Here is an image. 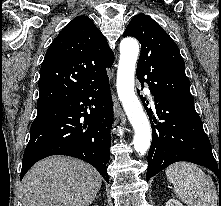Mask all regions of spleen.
Instances as JSON below:
<instances>
[{
	"label": "spleen",
	"mask_w": 221,
	"mask_h": 206,
	"mask_svg": "<svg viewBox=\"0 0 221 206\" xmlns=\"http://www.w3.org/2000/svg\"><path fill=\"white\" fill-rule=\"evenodd\" d=\"M174 193L187 206H217L218 195L209 175L199 167L187 162L171 165L166 170Z\"/></svg>",
	"instance_id": "3e777b00"
}]
</instances>
